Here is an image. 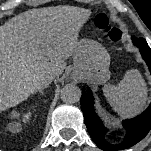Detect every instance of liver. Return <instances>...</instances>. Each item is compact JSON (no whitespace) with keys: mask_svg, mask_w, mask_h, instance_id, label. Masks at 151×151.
Instances as JSON below:
<instances>
[{"mask_svg":"<svg viewBox=\"0 0 151 151\" xmlns=\"http://www.w3.org/2000/svg\"><path fill=\"white\" fill-rule=\"evenodd\" d=\"M90 15V10L78 7L40 8L0 27V113L61 74V62L76 51L79 31Z\"/></svg>","mask_w":151,"mask_h":151,"instance_id":"6515ba94","label":"liver"}]
</instances>
